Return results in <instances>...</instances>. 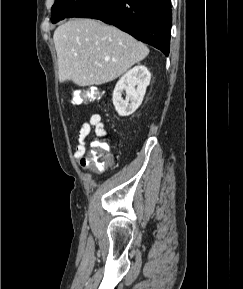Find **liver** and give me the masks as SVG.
<instances>
[{
	"label": "liver",
	"mask_w": 243,
	"mask_h": 289,
	"mask_svg": "<svg viewBox=\"0 0 243 289\" xmlns=\"http://www.w3.org/2000/svg\"><path fill=\"white\" fill-rule=\"evenodd\" d=\"M61 82L101 85L143 60L149 49L120 29L94 19H72L53 35Z\"/></svg>",
	"instance_id": "liver-1"
}]
</instances>
